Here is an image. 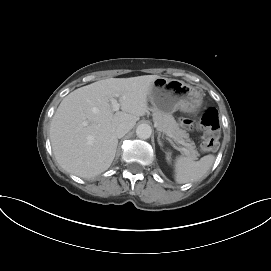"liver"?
<instances>
[{
  "label": "liver",
  "mask_w": 271,
  "mask_h": 271,
  "mask_svg": "<svg viewBox=\"0 0 271 271\" xmlns=\"http://www.w3.org/2000/svg\"><path fill=\"white\" fill-rule=\"evenodd\" d=\"M158 75L108 78L78 88L58 106L50 126V141L58 164L67 172L90 178L106 171L114 160L121 123L132 127L148 112V93ZM121 111L114 113L111 99Z\"/></svg>",
  "instance_id": "liver-1"
}]
</instances>
